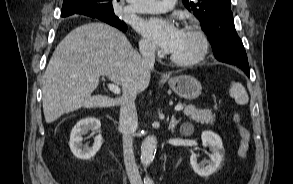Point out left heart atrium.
<instances>
[{
  "label": "left heart atrium",
  "instance_id": "39dd6f15",
  "mask_svg": "<svg viewBox=\"0 0 293 184\" xmlns=\"http://www.w3.org/2000/svg\"><path fill=\"white\" fill-rule=\"evenodd\" d=\"M140 30L168 53L175 50L182 35V30L172 21L162 18H151L143 21L140 24Z\"/></svg>",
  "mask_w": 293,
  "mask_h": 184
}]
</instances>
